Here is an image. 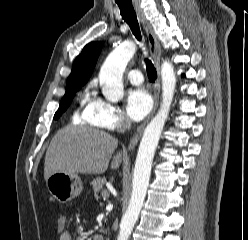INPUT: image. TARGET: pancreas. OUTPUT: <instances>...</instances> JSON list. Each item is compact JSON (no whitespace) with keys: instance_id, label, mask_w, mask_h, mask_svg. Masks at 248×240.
Wrapping results in <instances>:
<instances>
[{"instance_id":"obj_1","label":"pancreas","mask_w":248,"mask_h":240,"mask_svg":"<svg viewBox=\"0 0 248 240\" xmlns=\"http://www.w3.org/2000/svg\"><path fill=\"white\" fill-rule=\"evenodd\" d=\"M105 178L104 177H97L96 179H94L91 182L92 188H93V192L96 195L99 191L102 190L103 185L105 184Z\"/></svg>"}]
</instances>
